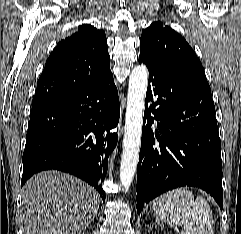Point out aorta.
<instances>
[{"label": "aorta", "instance_id": "aorta-1", "mask_svg": "<svg viewBox=\"0 0 241 234\" xmlns=\"http://www.w3.org/2000/svg\"><path fill=\"white\" fill-rule=\"evenodd\" d=\"M148 70L143 64L132 69L129 77L123 152L120 165L121 185L128 189L136 173L143 125Z\"/></svg>", "mask_w": 241, "mask_h": 234}]
</instances>
